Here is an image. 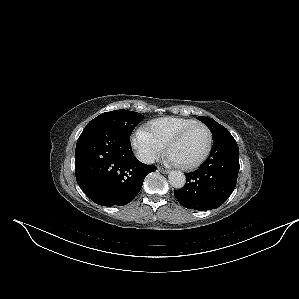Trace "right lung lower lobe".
<instances>
[{"mask_svg":"<svg viewBox=\"0 0 299 299\" xmlns=\"http://www.w3.org/2000/svg\"><path fill=\"white\" fill-rule=\"evenodd\" d=\"M156 166L133 155L130 137L104 123H89L78 138L75 174L83 192L96 204L123 206L140 191Z\"/></svg>","mask_w":299,"mask_h":299,"instance_id":"98d812e1","label":"right lung lower lobe"}]
</instances>
